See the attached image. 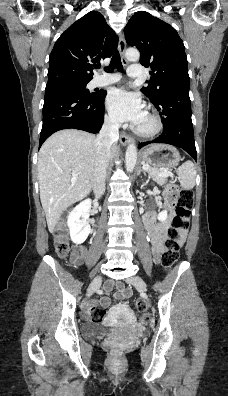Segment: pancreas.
Wrapping results in <instances>:
<instances>
[{"instance_id": "cf45deb5", "label": "pancreas", "mask_w": 228, "mask_h": 396, "mask_svg": "<svg viewBox=\"0 0 228 396\" xmlns=\"http://www.w3.org/2000/svg\"><path fill=\"white\" fill-rule=\"evenodd\" d=\"M149 177H151L154 181H156L159 185H163L167 182L168 176L161 175V170L159 168L149 166L147 170ZM171 175V172H169Z\"/></svg>"}]
</instances>
